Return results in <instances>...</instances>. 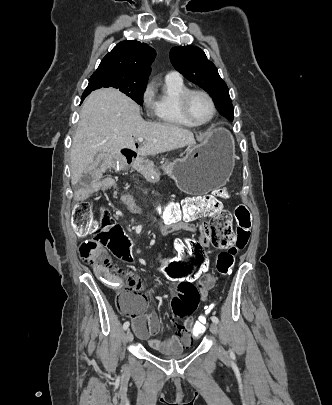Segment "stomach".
Wrapping results in <instances>:
<instances>
[{"mask_svg":"<svg viewBox=\"0 0 332 405\" xmlns=\"http://www.w3.org/2000/svg\"><path fill=\"white\" fill-rule=\"evenodd\" d=\"M234 166V140L226 129L218 128L202 144L191 148L184 158L163 159L162 168L180 190L200 195L221 188Z\"/></svg>","mask_w":332,"mask_h":405,"instance_id":"0dacf381","label":"stomach"}]
</instances>
